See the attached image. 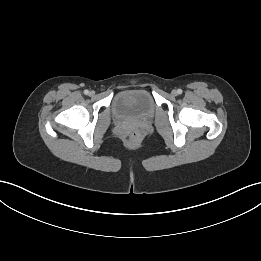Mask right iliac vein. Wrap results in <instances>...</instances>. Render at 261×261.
I'll return each instance as SVG.
<instances>
[{
	"label": "right iliac vein",
	"mask_w": 261,
	"mask_h": 261,
	"mask_svg": "<svg viewBox=\"0 0 261 261\" xmlns=\"http://www.w3.org/2000/svg\"><path fill=\"white\" fill-rule=\"evenodd\" d=\"M90 95H91V96H93V95H94V92H93V91H91V92H90Z\"/></svg>",
	"instance_id": "1"
}]
</instances>
